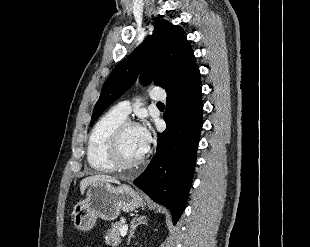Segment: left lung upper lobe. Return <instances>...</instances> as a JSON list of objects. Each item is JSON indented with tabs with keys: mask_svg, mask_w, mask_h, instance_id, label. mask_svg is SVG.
<instances>
[{
	"mask_svg": "<svg viewBox=\"0 0 310 247\" xmlns=\"http://www.w3.org/2000/svg\"><path fill=\"white\" fill-rule=\"evenodd\" d=\"M197 68L194 52L183 29L166 20L157 21L152 35L113 69L94 107L91 125L134 84L139 72L144 84L154 79L156 85L169 92Z\"/></svg>",
	"mask_w": 310,
	"mask_h": 247,
	"instance_id": "left-lung-upper-lobe-1",
	"label": "left lung upper lobe"
}]
</instances>
